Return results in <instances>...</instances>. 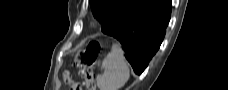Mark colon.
Instances as JSON below:
<instances>
[{"mask_svg": "<svg viewBox=\"0 0 228 90\" xmlns=\"http://www.w3.org/2000/svg\"><path fill=\"white\" fill-rule=\"evenodd\" d=\"M101 45L97 41L89 42L86 47L79 51L74 59L73 63L82 67L81 77L84 83H78L72 80L68 70L64 72V82L70 90H96L97 86L93 77V67L96 65Z\"/></svg>", "mask_w": 228, "mask_h": 90, "instance_id": "5ec220e1", "label": "colon"}]
</instances>
